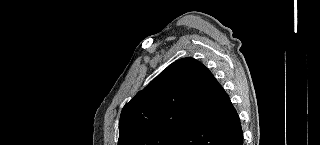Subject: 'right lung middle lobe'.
Instances as JSON below:
<instances>
[{
  "label": "right lung middle lobe",
  "mask_w": 320,
  "mask_h": 145,
  "mask_svg": "<svg viewBox=\"0 0 320 145\" xmlns=\"http://www.w3.org/2000/svg\"><path fill=\"white\" fill-rule=\"evenodd\" d=\"M182 129H166L150 133L134 142L133 145H168Z\"/></svg>",
  "instance_id": "right-lung-middle-lobe-1"
}]
</instances>
